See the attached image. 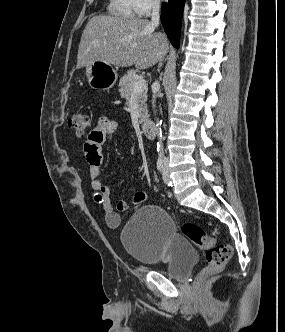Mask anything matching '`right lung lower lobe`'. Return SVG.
<instances>
[{
  "instance_id": "98d812e1",
  "label": "right lung lower lobe",
  "mask_w": 285,
  "mask_h": 332,
  "mask_svg": "<svg viewBox=\"0 0 285 332\" xmlns=\"http://www.w3.org/2000/svg\"><path fill=\"white\" fill-rule=\"evenodd\" d=\"M185 0H169L163 3L161 21L174 47L178 48L181 19Z\"/></svg>"
}]
</instances>
